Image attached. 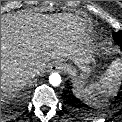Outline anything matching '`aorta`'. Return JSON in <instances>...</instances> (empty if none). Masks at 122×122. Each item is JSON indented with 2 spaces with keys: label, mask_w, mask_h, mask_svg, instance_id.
Wrapping results in <instances>:
<instances>
[{
  "label": "aorta",
  "mask_w": 122,
  "mask_h": 122,
  "mask_svg": "<svg viewBox=\"0 0 122 122\" xmlns=\"http://www.w3.org/2000/svg\"><path fill=\"white\" fill-rule=\"evenodd\" d=\"M49 83L52 86H59L61 83V76L58 73H52L49 76Z\"/></svg>",
  "instance_id": "aorta-1"
}]
</instances>
